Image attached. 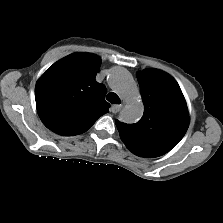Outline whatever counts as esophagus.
<instances>
[{"label": "esophagus", "instance_id": "34e87169", "mask_svg": "<svg viewBox=\"0 0 223 223\" xmlns=\"http://www.w3.org/2000/svg\"><path fill=\"white\" fill-rule=\"evenodd\" d=\"M120 109H121V105H112L110 108L111 112L114 114L118 113Z\"/></svg>", "mask_w": 223, "mask_h": 223}]
</instances>
